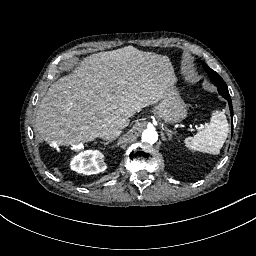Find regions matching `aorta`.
<instances>
[{"instance_id":"1","label":"aorta","mask_w":256,"mask_h":256,"mask_svg":"<svg viewBox=\"0 0 256 256\" xmlns=\"http://www.w3.org/2000/svg\"><path fill=\"white\" fill-rule=\"evenodd\" d=\"M146 133V136H143V134ZM142 140L145 141L146 143H156L158 140V133L155 127L152 128H147L146 130L143 131L142 133Z\"/></svg>"}]
</instances>
